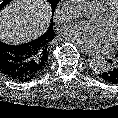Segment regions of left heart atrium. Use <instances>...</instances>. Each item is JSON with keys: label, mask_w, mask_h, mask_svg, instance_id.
I'll return each mask as SVG.
<instances>
[{"label": "left heart atrium", "mask_w": 118, "mask_h": 118, "mask_svg": "<svg viewBox=\"0 0 118 118\" xmlns=\"http://www.w3.org/2000/svg\"><path fill=\"white\" fill-rule=\"evenodd\" d=\"M64 37L82 49L102 51L113 44V38L103 24L78 22L66 27Z\"/></svg>", "instance_id": "1"}]
</instances>
